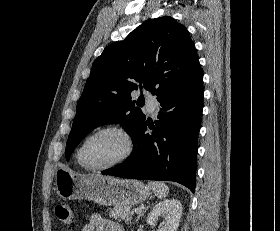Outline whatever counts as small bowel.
Instances as JSON below:
<instances>
[{
  "label": "small bowel",
  "mask_w": 280,
  "mask_h": 231,
  "mask_svg": "<svg viewBox=\"0 0 280 231\" xmlns=\"http://www.w3.org/2000/svg\"><path fill=\"white\" fill-rule=\"evenodd\" d=\"M82 231H124L118 223L105 219L99 214H93Z\"/></svg>",
  "instance_id": "obj_1"
}]
</instances>
